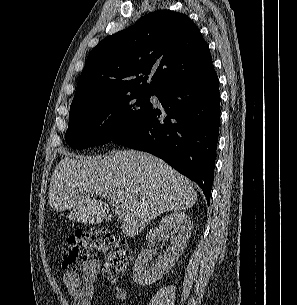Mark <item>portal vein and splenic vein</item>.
Returning <instances> with one entry per match:
<instances>
[{"mask_svg":"<svg viewBox=\"0 0 297 305\" xmlns=\"http://www.w3.org/2000/svg\"><path fill=\"white\" fill-rule=\"evenodd\" d=\"M101 197L107 199L108 201H112V198L107 194H104ZM115 215L118 218L124 217L125 216V207L123 205H115Z\"/></svg>","mask_w":297,"mask_h":305,"instance_id":"1","label":"portal vein and splenic vein"}]
</instances>
